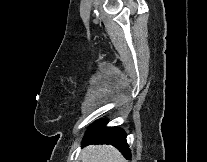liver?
Masks as SVG:
<instances>
[{
  "label": "liver",
  "instance_id": "1",
  "mask_svg": "<svg viewBox=\"0 0 207 162\" xmlns=\"http://www.w3.org/2000/svg\"><path fill=\"white\" fill-rule=\"evenodd\" d=\"M80 160L81 162H127L116 148L107 144L85 147L81 152Z\"/></svg>",
  "mask_w": 207,
  "mask_h": 162
}]
</instances>
